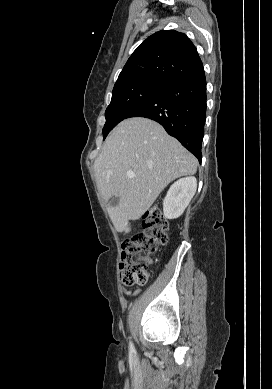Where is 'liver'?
I'll list each match as a JSON object with an SVG mask.
<instances>
[{"mask_svg": "<svg viewBox=\"0 0 272 389\" xmlns=\"http://www.w3.org/2000/svg\"><path fill=\"white\" fill-rule=\"evenodd\" d=\"M197 165L196 158L155 121L134 117L120 122L94 162L103 200L119 198L116 207L108 204L115 229L129 233V221L139 219L170 182L194 175ZM129 171L133 178L127 176Z\"/></svg>", "mask_w": 272, "mask_h": 389, "instance_id": "obj_1", "label": "liver"}]
</instances>
